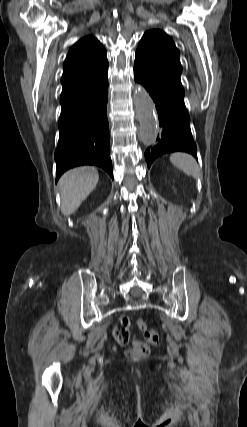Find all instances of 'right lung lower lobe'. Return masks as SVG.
<instances>
[{"label":"right lung lower lobe","instance_id":"obj_1","mask_svg":"<svg viewBox=\"0 0 247 427\" xmlns=\"http://www.w3.org/2000/svg\"><path fill=\"white\" fill-rule=\"evenodd\" d=\"M107 73L61 94L56 181L68 169L81 165L102 167L113 178L106 114Z\"/></svg>","mask_w":247,"mask_h":427}]
</instances>
